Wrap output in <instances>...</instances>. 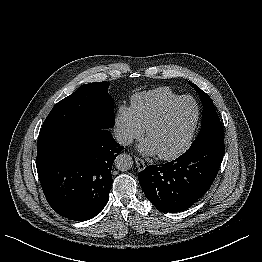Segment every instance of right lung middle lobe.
I'll use <instances>...</instances> for the list:
<instances>
[{"mask_svg":"<svg viewBox=\"0 0 262 262\" xmlns=\"http://www.w3.org/2000/svg\"><path fill=\"white\" fill-rule=\"evenodd\" d=\"M108 85V82L82 85L52 108L42 128L74 125L99 129L113 127L114 100L108 93Z\"/></svg>","mask_w":262,"mask_h":262,"instance_id":"dd1d6c3e","label":"right lung middle lobe"}]
</instances>
